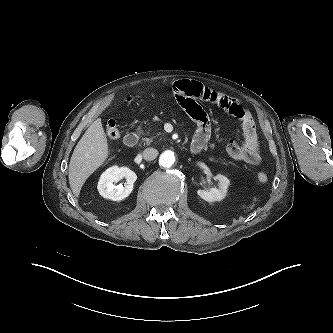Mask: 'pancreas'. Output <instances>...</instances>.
Listing matches in <instances>:
<instances>
[{"instance_id": "1", "label": "pancreas", "mask_w": 333, "mask_h": 333, "mask_svg": "<svg viewBox=\"0 0 333 333\" xmlns=\"http://www.w3.org/2000/svg\"><path fill=\"white\" fill-rule=\"evenodd\" d=\"M137 132L140 134H143V131L141 130V127L137 128ZM147 134H150V132L148 131ZM160 133H157L155 136H151L150 138H142L143 142H145L147 145H149L150 143H152L154 141V139L159 136Z\"/></svg>"}]
</instances>
